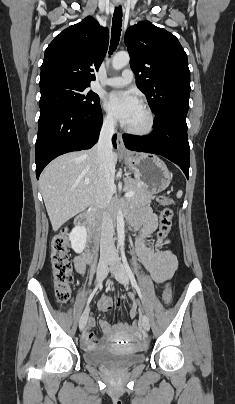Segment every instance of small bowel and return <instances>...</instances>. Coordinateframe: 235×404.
Masks as SVG:
<instances>
[{
	"label": "small bowel",
	"instance_id": "1",
	"mask_svg": "<svg viewBox=\"0 0 235 404\" xmlns=\"http://www.w3.org/2000/svg\"><path fill=\"white\" fill-rule=\"evenodd\" d=\"M134 226L138 229V237L136 241L137 254L140 261L150 272L151 277L156 285L162 286L171 278L177 268L178 259L176 254L169 248L171 241L157 239L154 245L149 244V237L154 232L157 220L153 211L145 206L141 208L138 215L133 219ZM165 247V249H164ZM88 253H81L74 260L75 268L78 273H85L86 264L91 262ZM99 309L103 312L112 310V301L109 297L102 296L98 303ZM121 306V302H118ZM137 314L136 302L131 297L130 318H134ZM95 320L90 316L84 327L82 336V346L87 349H94L105 344L106 341L114 342L122 338L129 339L132 335L131 328L127 323H118L111 326L106 320H100L99 326L104 337L99 338L92 332Z\"/></svg>",
	"mask_w": 235,
	"mask_h": 404
}]
</instances>
